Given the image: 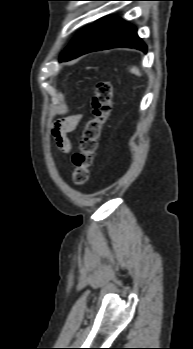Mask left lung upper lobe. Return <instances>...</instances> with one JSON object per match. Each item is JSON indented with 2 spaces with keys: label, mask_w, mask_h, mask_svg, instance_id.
I'll list each match as a JSON object with an SVG mask.
<instances>
[{
  "label": "left lung upper lobe",
  "mask_w": 193,
  "mask_h": 349,
  "mask_svg": "<svg viewBox=\"0 0 193 349\" xmlns=\"http://www.w3.org/2000/svg\"><path fill=\"white\" fill-rule=\"evenodd\" d=\"M88 28V27H87ZM87 28H84L83 30H81L75 37L74 39L72 40V42L69 44V46L65 49V51L62 53H66L68 52L69 50H71L75 45L76 43L80 40V38L82 37V35L84 34V32L87 30Z\"/></svg>",
  "instance_id": "obj_1"
}]
</instances>
